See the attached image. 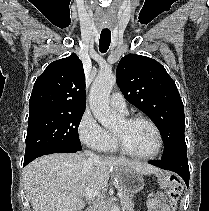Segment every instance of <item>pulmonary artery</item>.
Here are the masks:
<instances>
[{
    "label": "pulmonary artery",
    "mask_w": 209,
    "mask_h": 211,
    "mask_svg": "<svg viewBox=\"0 0 209 211\" xmlns=\"http://www.w3.org/2000/svg\"><path fill=\"white\" fill-rule=\"evenodd\" d=\"M110 105L114 110L120 113H127L126 101L123 95L119 92L112 94L110 98Z\"/></svg>",
    "instance_id": "e3ab8cb5"
}]
</instances>
